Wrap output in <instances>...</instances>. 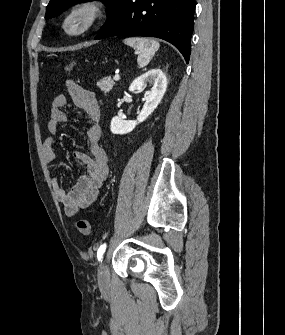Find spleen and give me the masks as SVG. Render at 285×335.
<instances>
[{"instance_id":"obj_1","label":"spleen","mask_w":285,"mask_h":335,"mask_svg":"<svg viewBox=\"0 0 285 335\" xmlns=\"http://www.w3.org/2000/svg\"><path fill=\"white\" fill-rule=\"evenodd\" d=\"M123 44L134 48L138 54L137 64L140 68H145L159 50L160 44L154 38H126Z\"/></svg>"}]
</instances>
